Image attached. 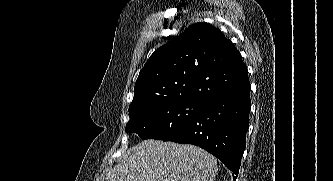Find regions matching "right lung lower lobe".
<instances>
[{
  "mask_svg": "<svg viewBox=\"0 0 333 181\" xmlns=\"http://www.w3.org/2000/svg\"><path fill=\"white\" fill-rule=\"evenodd\" d=\"M250 84L209 98L194 119L167 141L197 145L210 152L237 178L246 146L251 108Z\"/></svg>",
  "mask_w": 333,
  "mask_h": 181,
  "instance_id": "right-lung-lower-lobe-1",
  "label": "right lung lower lobe"
}]
</instances>
